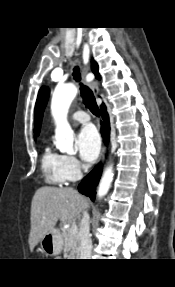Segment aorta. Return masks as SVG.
Here are the masks:
<instances>
[{
	"mask_svg": "<svg viewBox=\"0 0 175 287\" xmlns=\"http://www.w3.org/2000/svg\"><path fill=\"white\" fill-rule=\"evenodd\" d=\"M77 95V88L74 84L69 83L55 88L52 101L51 113L55 121V145L61 152L69 154L75 153L73 147L74 132L67 121L69 107ZM113 166L106 167L101 178L98 197L107 194L113 181Z\"/></svg>",
	"mask_w": 175,
	"mask_h": 287,
	"instance_id": "762f6f07",
	"label": "aorta"
}]
</instances>
